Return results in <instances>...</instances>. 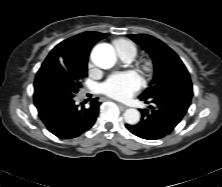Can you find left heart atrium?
I'll return each mask as SVG.
<instances>
[{
    "mask_svg": "<svg viewBox=\"0 0 222 187\" xmlns=\"http://www.w3.org/2000/svg\"><path fill=\"white\" fill-rule=\"evenodd\" d=\"M143 85L141 77L133 71L117 72L110 75L101 85L105 95L117 100H129Z\"/></svg>",
    "mask_w": 222,
    "mask_h": 187,
    "instance_id": "obj_1",
    "label": "left heart atrium"
}]
</instances>
